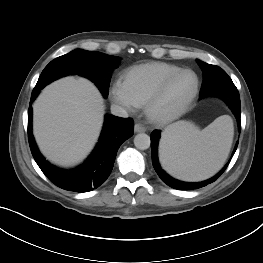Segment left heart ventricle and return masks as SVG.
<instances>
[{
	"label": "left heart ventricle",
	"instance_id": "left-heart-ventricle-1",
	"mask_svg": "<svg viewBox=\"0 0 263 263\" xmlns=\"http://www.w3.org/2000/svg\"><path fill=\"white\" fill-rule=\"evenodd\" d=\"M195 76L186 72L174 79L157 105L159 113H166L180 106L192 93Z\"/></svg>",
	"mask_w": 263,
	"mask_h": 263
}]
</instances>
